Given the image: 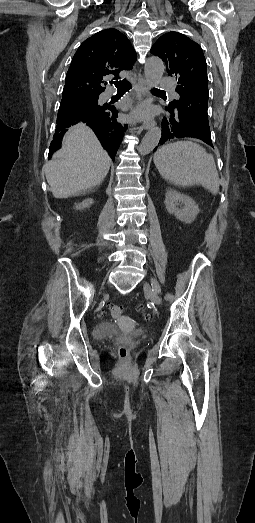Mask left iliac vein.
Listing matches in <instances>:
<instances>
[{
  "mask_svg": "<svg viewBox=\"0 0 255 523\" xmlns=\"http://www.w3.org/2000/svg\"><path fill=\"white\" fill-rule=\"evenodd\" d=\"M151 285L160 288V285L156 279L151 280ZM144 291L150 297V299L153 303H155L156 305L161 304L160 296L158 295V293L156 291L153 290V288L148 283L144 284Z\"/></svg>",
  "mask_w": 255,
  "mask_h": 523,
  "instance_id": "left-iliac-vein-1",
  "label": "left iliac vein"
}]
</instances>
